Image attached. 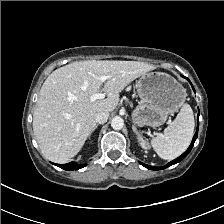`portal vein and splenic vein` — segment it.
I'll return each instance as SVG.
<instances>
[{
	"mask_svg": "<svg viewBox=\"0 0 224 224\" xmlns=\"http://www.w3.org/2000/svg\"><path fill=\"white\" fill-rule=\"evenodd\" d=\"M99 79L101 82H105L108 79V76L102 75L100 76ZM103 98H105V93H96V94H93L90 99L91 101H95L97 99H103Z\"/></svg>",
	"mask_w": 224,
	"mask_h": 224,
	"instance_id": "portal-vein-and-splenic-vein-1",
	"label": "portal vein and splenic vein"
}]
</instances>
